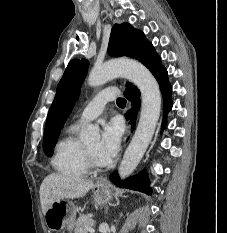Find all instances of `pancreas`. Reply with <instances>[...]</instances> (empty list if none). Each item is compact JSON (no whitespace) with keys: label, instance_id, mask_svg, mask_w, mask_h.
Returning <instances> with one entry per match:
<instances>
[{"label":"pancreas","instance_id":"1","mask_svg":"<svg viewBox=\"0 0 227 233\" xmlns=\"http://www.w3.org/2000/svg\"><path fill=\"white\" fill-rule=\"evenodd\" d=\"M94 225V221L88 215H80L75 222L74 233H87V228Z\"/></svg>","mask_w":227,"mask_h":233}]
</instances>
